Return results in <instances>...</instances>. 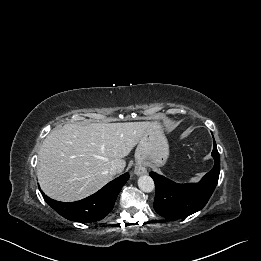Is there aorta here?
Wrapping results in <instances>:
<instances>
[{"instance_id": "obj_1", "label": "aorta", "mask_w": 261, "mask_h": 261, "mask_svg": "<svg viewBox=\"0 0 261 261\" xmlns=\"http://www.w3.org/2000/svg\"><path fill=\"white\" fill-rule=\"evenodd\" d=\"M138 186L143 192H152L155 188L153 179L148 175L140 176L138 179Z\"/></svg>"}]
</instances>
